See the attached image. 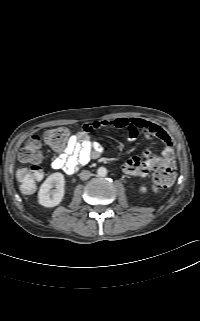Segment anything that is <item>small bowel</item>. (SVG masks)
<instances>
[{
  "label": "small bowel",
  "mask_w": 200,
  "mask_h": 321,
  "mask_svg": "<svg viewBox=\"0 0 200 321\" xmlns=\"http://www.w3.org/2000/svg\"><path fill=\"white\" fill-rule=\"evenodd\" d=\"M101 128L125 130L129 140H134L138 133L142 132L148 138L159 139L165 144L166 148L162 155L173 153V144L169 134L158 124L141 118L121 117L85 123L80 132L69 138L63 149L57 150L58 156L52 160L51 167L72 174L79 166L98 158L104 152V147L100 142L92 141L90 135ZM160 157L154 156L152 151L147 149L142 156L129 158L123 164L122 170L128 175L144 177L154 168Z\"/></svg>",
  "instance_id": "c3829d8e"
}]
</instances>
